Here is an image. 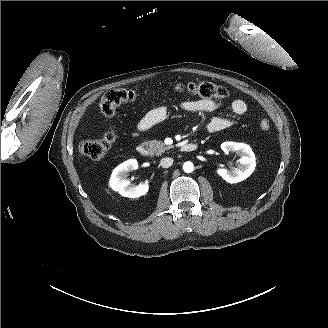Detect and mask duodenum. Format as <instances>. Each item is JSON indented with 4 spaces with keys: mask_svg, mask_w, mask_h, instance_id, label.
I'll use <instances>...</instances> for the list:
<instances>
[{
    "mask_svg": "<svg viewBox=\"0 0 328 328\" xmlns=\"http://www.w3.org/2000/svg\"><path fill=\"white\" fill-rule=\"evenodd\" d=\"M196 149H197V144L192 143V142L184 143L180 147V150L182 152H193ZM136 150H137L138 154L142 157H147L149 154L148 148L143 144L138 145Z\"/></svg>",
    "mask_w": 328,
    "mask_h": 328,
    "instance_id": "410a0bca",
    "label": "duodenum"
}]
</instances>
